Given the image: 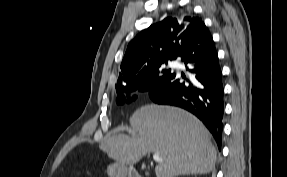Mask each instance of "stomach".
<instances>
[{"label":"stomach","instance_id":"obj_1","mask_svg":"<svg viewBox=\"0 0 287 177\" xmlns=\"http://www.w3.org/2000/svg\"><path fill=\"white\" fill-rule=\"evenodd\" d=\"M107 172L110 177H132L136 173L132 167L119 162L109 165Z\"/></svg>","mask_w":287,"mask_h":177}]
</instances>
